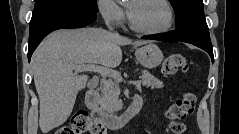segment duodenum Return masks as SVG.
<instances>
[{
	"mask_svg": "<svg viewBox=\"0 0 239 134\" xmlns=\"http://www.w3.org/2000/svg\"><path fill=\"white\" fill-rule=\"evenodd\" d=\"M144 98L136 94L127 109L118 116L108 115L100 107L99 94L96 90H90L86 94V105L91 112L94 121L100 123L103 127L118 130L127 125L141 110Z\"/></svg>",
	"mask_w": 239,
	"mask_h": 134,
	"instance_id": "obj_1",
	"label": "duodenum"
}]
</instances>
